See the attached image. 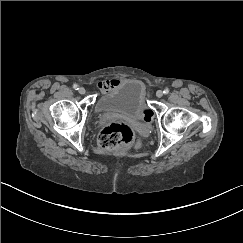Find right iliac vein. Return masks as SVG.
Returning a JSON list of instances; mask_svg holds the SVG:
<instances>
[{"mask_svg": "<svg viewBox=\"0 0 243 243\" xmlns=\"http://www.w3.org/2000/svg\"><path fill=\"white\" fill-rule=\"evenodd\" d=\"M78 92H79L80 94H85V93H86V90H85V88L80 87V88L78 89Z\"/></svg>", "mask_w": 243, "mask_h": 243, "instance_id": "1", "label": "right iliac vein"}]
</instances>
